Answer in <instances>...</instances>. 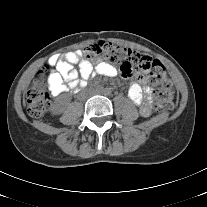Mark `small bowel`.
Listing matches in <instances>:
<instances>
[{
  "label": "small bowel",
  "mask_w": 207,
  "mask_h": 207,
  "mask_svg": "<svg viewBox=\"0 0 207 207\" xmlns=\"http://www.w3.org/2000/svg\"><path fill=\"white\" fill-rule=\"evenodd\" d=\"M48 64L55 67L49 79L50 89L55 96L68 92L77 93L96 74L104 77H115L118 74L117 68L110 62L101 60L94 65L91 58L84 59L81 50L54 54L49 58ZM76 65L78 70L74 68ZM144 82L145 78L138 76L137 81L130 84L128 96L139 107L141 115L146 117L151 113V89L142 87L141 83Z\"/></svg>",
  "instance_id": "obj_1"
}]
</instances>
